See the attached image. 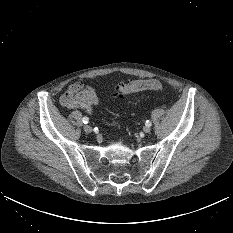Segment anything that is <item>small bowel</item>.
Listing matches in <instances>:
<instances>
[{"instance_id": "small-bowel-1", "label": "small bowel", "mask_w": 233, "mask_h": 233, "mask_svg": "<svg viewBox=\"0 0 233 233\" xmlns=\"http://www.w3.org/2000/svg\"><path fill=\"white\" fill-rule=\"evenodd\" d=\"M61 105L68 109H83L89 114L99 104L98 91L83 81L73 82L60 97Z\"/></svg>"}]
</instances>
